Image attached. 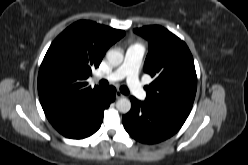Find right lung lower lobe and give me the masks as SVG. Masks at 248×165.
Here are the masks:
<instances>
[{"label":"right lung lower lobe","mask_w":248,"mask_h":165,"mask_svg":"<svg viewBox=\"0 0 248 165\" xmlns=\"http://www.w3.org/2000/svg\"><path fill=\"white\" fill-rule=\"evenodd\" d=\"M116 89L110 86L104 89L101 97L78 114L52 124L63 136L72 139L86 138L95 133L103 121L104 110L115 100Z\"/></svg>","instance_id":"1"}]
</instances>
